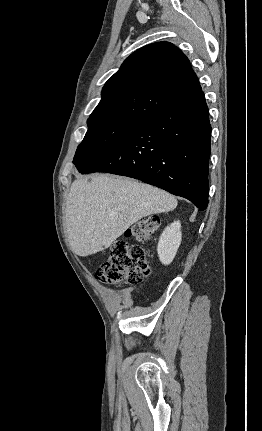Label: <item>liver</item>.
Listing matches in <instances>:
<instances>
[{"mask_svg": "<svg viewBox=\"0 0 262 431\" xmlns=\"http://www.w3.org/2000/svg\"><path fill=\"white\" fill-rule=\"evenodd\" d=\"M177 207V199L129 178L98 174L75 180L66 201V229L78 256L100 252L132 224Z\"/></svg>", "mask_w": 262, "mask_h": 431, "instance_id": "obj_1", "label": "liver"}]
</instances>
